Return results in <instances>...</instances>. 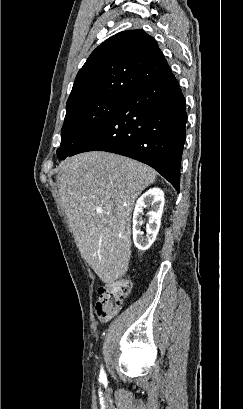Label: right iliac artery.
I'll return each mask as SVG.
<instances>
[{"label":"right iliac artery","mask_w":243,"mask_h":409,"mask_svg":"<svg viewBox=\"0 0 243 409\" xmlns=\"http://www.w3.org/2000/svg\"><path fill=\"white\" fill-rule=\"evenodd\" d=\"M100 380H106V375L103 370H101V373H100Z\"/></svg>","instance_id":"82829eb1"}]
</instances>
